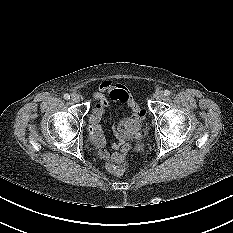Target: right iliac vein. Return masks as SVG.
<instances>
[{
    "instance_id": "right-iliac-vein-1",
    "label": "right iliac vein",
    "mask_w": 233,
    "mask_h": 233,
    "mask_svg": "<svg viewBox=\"0 0 233 233\" xmlns=\"http://www.w3.org/2000/svg\"><path fill=\"white\" fill-rule=\"evenodd\" d=\"M71 101L77 103L80 101V96L78 94H72L71 95Z\"/></svg>"
}]
</instances>
